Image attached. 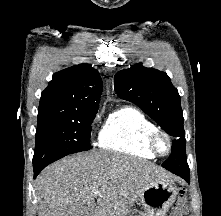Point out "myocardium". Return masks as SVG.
<instances>
[{"instance_id":"myocardium-1","label":"myocardium","mask_w":221,"mask_h":216,"mask_svg":"<svg viewBox=\"0 0 221 216\" xmlns=\"http://www.w3.org/2000/svg\"><path fill=\"white\" fill-rule=\"evenodd\" d=\"M164 143V148H161ZM146 145L155 155L165 156L172 150V140L170 136L162 129L154 128L146 136Z\"/></svg>"}]
</instances>
